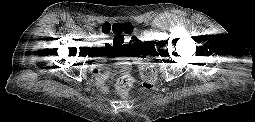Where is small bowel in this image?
<instances>
[{
  "mask_svg": "<svg viewBox=\"0 0 255 122\" xmlns=\"http://www.w3.org/2000/svg\"><path fill=\"white\" fill-rule=\"evenodd\" d=\"M115 24H122V23H115ZM105 25V24H104ZM101 29V32L99 33V37L100 38H104L105 37V33L103 31V27ZM113 25V24H110ZM123 25V24H122ZM113 38L108 40L107 42H103L102 45V52H101V59L104 60L105 58H107L109 56V54L111 53L112 50L114 49H118L122 46H125L127 44L130 43V38L128 36H126L125 34H113ZM120 67H127L129 65V63L126 60H123L121 62H119L118 64ZM101 67H102V63H97L94 65L93 70L95 72L96 75H98L99 77L103 78V75L101 73Z\"/></svg>",
  "mask_w": 255,
  "mask_h": 122,
  "instance_id": "small-bowel-1",
  "label": "small bowel"
}]
</instances>
